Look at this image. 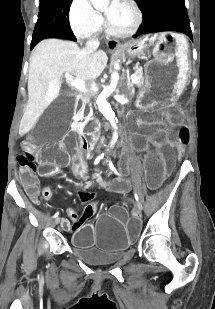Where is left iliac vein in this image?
Masks as SVG:
<instances>
[{"mask_svg": "<svg viewBox=\"0 0 215 309\" xmlns=\"http://www.w3.org/2000/svg\"><path fill=\"white\" fill-rule=\"evenodd\" d=\"M140 205L137 204V207L135 208L134 212L140 214L141 213Z\"/></svg>", "mask_w": 215, "mask_h": 309, "instance_id": "1", "label": "left iliac vein"}]
</instances>
